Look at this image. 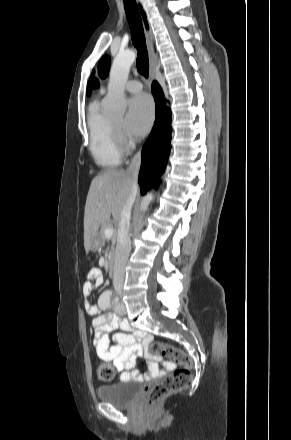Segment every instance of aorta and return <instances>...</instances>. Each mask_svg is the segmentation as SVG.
<instances>
[{
    "instance_id": "aorta-1",
    "label": "aorta",
    "mask_w": 291,
    "mask_h": 440,
    "mask_svg": "<svg viewBox=\"0 0 291 440\" xmlns=\"http://www.w3.org/2000/svg\"><path fill=\"white\" fill-rule=\"evenodd\" d=\"M136 59V53L132 50L120 51L113 60L110 70L107 96L103 103L106 114L112 117H122L126 111V99L124 94L125 83L128 79L131 65ZM148 199L142 202V210L147 209Z\"/></svg>"
}]
</instances>
